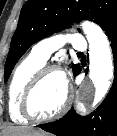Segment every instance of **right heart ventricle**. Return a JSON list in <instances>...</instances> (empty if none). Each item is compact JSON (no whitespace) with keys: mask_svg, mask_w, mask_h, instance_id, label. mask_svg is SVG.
Here are the masks:
<instances>
[{"mask_svg":"<svg viewBox=\"0 0 117 136\" xmlns=\"http://www.w3.org/2000/svg\"><path fill=\"white\" fill-rule=\"evenodd\" d=\"M44 66L45 62L30 53L15 68L7 93L8 113L12 121L17 123H26L28 121L20 112L22 94L33 75Z\"/></svg>","mask_w":117,"mask_h":136,"instance_id":"obj_1","label":"right heart ventricle"}]
</instances>
